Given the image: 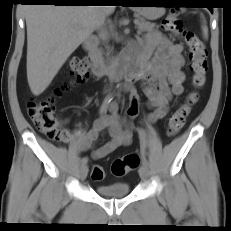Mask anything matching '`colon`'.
<instances>
[{
    "label": "colon",
    "instance_id": "obj_1",
    "mask_svg": "<svg viewBox=\"0 0 231 231\" xmlns=\"http://www.w3.org/2000/svg\"><path fill=\"white\" fill-rule=\"evenodd\" d=\"M179 14L180 11L177 9L170 10L162 21V27L172 36L182 39L186 44L189 51L194 90L188 95L186 101L170 116L167 129L170 136L177 135L185 125L192 106L198 100V90L206 82L208 71L207 49L204 43L194 32L184 29ZM88 68L89 64L86 59L72 58L68 64V71L73 78V82L77 84L84 83L89 77ZM28 114L37 129L49 139L60 143H66L70 140L71 132L63 127L55 116V100L53 97L30 101ZM138 164V156L130 153L115 159L111 165V172L116 177H122L130 170L135 169ZM91 178L95 181L102 180L104 178V169L99 165H95L91 170Z\"/></svg>",
    "mask_w": 231,
    "mask_h": 231
}]
</instances>
